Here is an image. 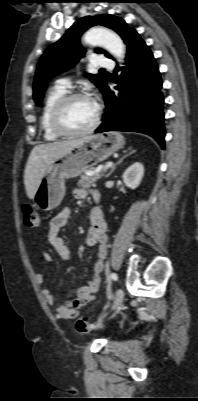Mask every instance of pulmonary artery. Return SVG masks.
<instances>
[{
    "label": "pulmonary artery",
    "instance_id": "pulmonary-artery-1",
    "mask_svg": "<svg viewBox=\"0 0 198 401\" xmlns=\"http://www.w3.org/2000/svg\"><path fill=\"white\" fill-rule=\"evenodd\" d=\"M93 62H94V66H96V67L111 68L114 66V62L111 59L104 57V56L96 57ZM58 85L62 88L67 89L70 87L71 83H70L69 79L63 78V79L58 80Z\"/></svg>",
    "mask_w": 198,
    "mask_h": 401
}]
</instances>
